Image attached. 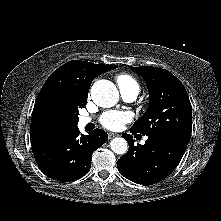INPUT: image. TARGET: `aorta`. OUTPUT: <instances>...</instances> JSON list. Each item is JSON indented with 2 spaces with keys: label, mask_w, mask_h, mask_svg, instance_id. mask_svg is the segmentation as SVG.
I'll return each instance as SVG.
<instances>
[{
  "label": "aorta",
  "mask_w": 221,
  "mask_h": 221,
  "mask_svg": "<svg viewBox=\"0 0 221 221\" xmlns=\"http://www.w3.org/2000/svg\"><path fill=\"white\" fill-rule=\"evenodd\" d=\"M91 98L97 106L109 108L117 103L119 92L111 81L99 80L91 87ZM110 148L114 153L122 155L127 152L128 143L125 139L116 137L111 140Z\"/></svg>",
  "instance_id": "762f6f07"
}]
</instances>
